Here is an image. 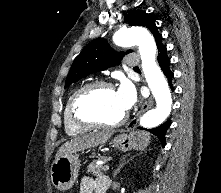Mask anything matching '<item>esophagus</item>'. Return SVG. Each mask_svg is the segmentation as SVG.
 I'll return each instance as SVG.
<instances>
[{
    "instance_id": "obj_1",
    "label": "esophagus",
    "mask_w": 221,
    "mask_h": 193,
    "mask_svg": "<svg viewBox=\"0 0 221 193\" xmlns=\"http://www.w3.org/2000/svg\"><path fill=\"white\" fill-rule=\"evenodd\" d=\"M153 105V98L150 97L148 98L142 105L141 109L139 112L136 114V116L133 118V120L129 123L128 128L135 127L142 116V114L148 110L151 106Z\"/></svg>"
}]
</instances>
